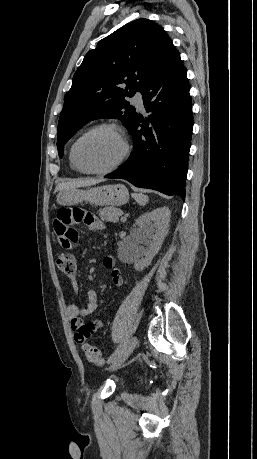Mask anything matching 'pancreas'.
<instances>
[{"instance_id":"1","label":"pancreas","mask_w":257,"mask_h":459,"mask_svg":"<svg viewBox=\"0 0 257 459\" xmlns=\"http://www.w3.org/2000/svg\"><path fill=\"white\" fill-rule=\"evenodd\" d=\"M99 216L103 221L118 222L119 217L122 215V211L115 207H106L99 209Z\"/></svg>"}]
</instances>
